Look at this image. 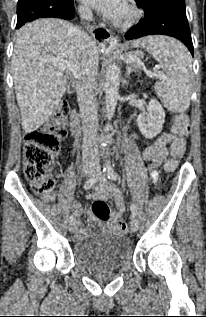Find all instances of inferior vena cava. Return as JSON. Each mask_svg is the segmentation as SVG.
Here are the masks:
<instances>
[{
	"mask_svg": "<svg viewBox=\"0 0 206 317\" xmlns=\"http://www.w3.org/2000/svg\"><path fill=\"white\" fill-rule=\"evenodd\" d=\"M78 12L83 20H92V11L88 5L79 7ZM77 43L81 55L77 98L83 124V167H99V149L96 141L98 118L96 111L95 87L98 72V53L87 33L79 31Z\"/></svg>",
	"mask_w": 206,
	"mask_h": 317,
	"instance_id": "inferior-vena-cava-1",
	"label": "inferior vena cava"
}]
</instances>
